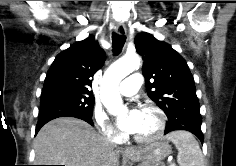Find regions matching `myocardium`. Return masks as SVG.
<instances>
[{"label":"myocardium","instance_id":"myocardium-1","mask_svg":"<svg viewBox=\"0 0 236 166\" xmlns=\"http://www.w3.org/2000/svg\"><path fill=\"white\" fill-rule=\"evenodd\" d=\"M141 110L154 112L157 117L158 125H157L156 130L152 134H150L148 136L134 135V140L138 143H143V144L154 142V141L158 140L164 133L165 125H166L165 113L163 112V110L160 107H158L154 103H150V102L142 104Z\"/></svg>","mask_w":236,"mask_h":166}]
</instances>
